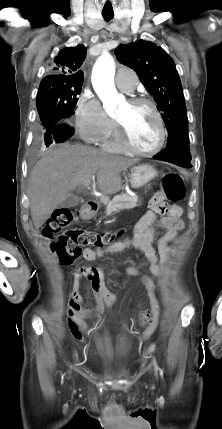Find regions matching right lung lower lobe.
Here are the masks:
<instances>
[{"label": "right lung lower lobe", "instance_id": "right-lung-lower-lobe-1", "mask_svg": "<svg viewBox=\"0 0 222 429\" xmlns=\"http://www.w3.org/2000/svg\"><path fill=\"white\" fill-rule=\"evenodd\" d=\"M74 133V130L69 126L68 122L59 123L45 132V144L49 146L52 142L61 143L69 139Z\"/></svg>", "mask_w": 222, "mask_h": 429}]
</instances>
